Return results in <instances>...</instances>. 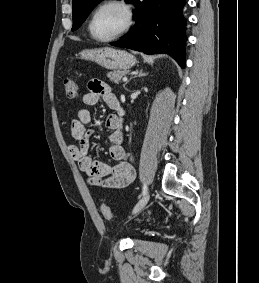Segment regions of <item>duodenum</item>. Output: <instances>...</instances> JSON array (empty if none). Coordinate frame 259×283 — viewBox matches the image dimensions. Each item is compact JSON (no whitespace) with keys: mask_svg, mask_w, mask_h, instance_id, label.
Returning a JSON list of instances; mask_svg holds the SVG:
<instances>
[{"mask_svg":"<svg viewBox=\"0 0 259 283\" xmlns=\"http://www.w3.org/2000/svg\"><path fill=\"white\" fill-rule=\"evenodd\" d=\"M118 112H119V113H121V109H120V107L118 108Z\"/></svg>","mask_w":259,"mask_h":283,"instance_id":"410a0bca","label":"duodenum"}]
</instances>
